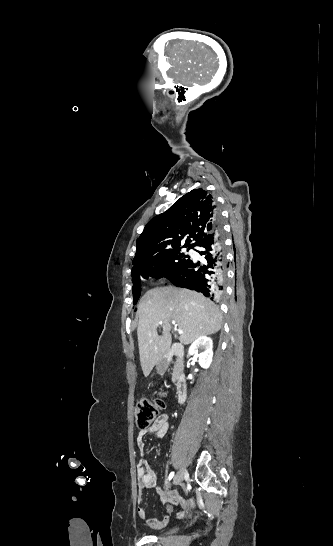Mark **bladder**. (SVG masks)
Listing matches in <instances>:
<instances>
[{
    "mask_svg": "<svg viewBox=\"0 0 333 546\" xmlns=\"http://www.w3.org/2000/svg\"><path fill=\"white\" fill-rule=\"evenodd\" d=\"M177 531V527H171L170 529L163 532V534H171Z\"/></svg>",
    "mask_w": 333,
    "mask_h": 546,
    "instance_id": "bladder-1",
    "label": "bladder"
}]
</instances>
